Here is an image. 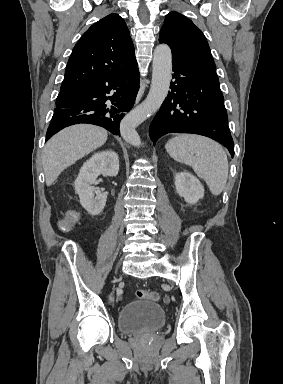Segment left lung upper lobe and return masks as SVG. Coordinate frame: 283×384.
I'll return each instance as SVG.
<instances>
[{"label":"left lung upper lobe","instance_id":"1","mask_svg":"<svg viewBox=\"0 0 283 384\" xmlns=\"http://www.w3.org/2000/svg\"><path fill=\"white\" fill-rule=\"evenodd\" d=\"M159 42L170 46L173 60L216 73L204 34L184 15L175 11L166 15Z\"/></svg>","mask_w":283,"mask_h":384}]
</instances>
